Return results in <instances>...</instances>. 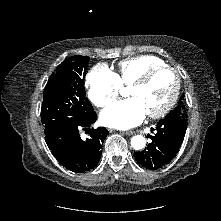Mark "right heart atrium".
<instances>
[{"instance_id": "d8ad5b80", "label": "right heart atrium", "mask_w": 221, "mask_h": 221, "mask_svg": "<svg viewBox=\"0 0 221 221\" xmlns=\"http://www.w3.org/2000/svg\"><path fill=\"white\" fill-rule=\"evenodd\" d=\"M88 97L97 107H105L119 95L121 84L107 67L94 66L86 77Z\"/></svg>"}]
</instances>
